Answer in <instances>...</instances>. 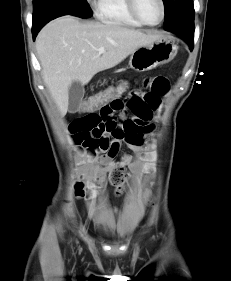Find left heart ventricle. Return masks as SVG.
I'll return each mask as SVG.
<instances>
[{
	"instance_id": "left-heart-ventricle-1",
	"label": "left heart ventricle",
	"mask_w": 231,
	"mask_h": 281,
	"mask_svg": "<svg viewBox=\"0 0 231 281\" xmlns=\"http://www.w3.org/2000/svg\"><path fill=\"white\" fill-rule=\"evenodd\" d=\"M139 13L148 23H157L161 18V4L159 0H137Z\"/></svg>"
}]
</instances>
